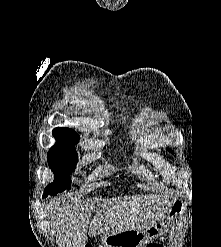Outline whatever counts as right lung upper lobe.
<instances>
[{"label":"right lung upper lobe","instance_id":"1","mask_svg":"<svg viewBox=\"0 0 221 247\" xmlns=\"http://www.w3.org/2000/svg\"><path fill=\"white\" fill-rule=\"evenodd\" d=\"M54 134H60V135H65V136H69V137H77L80 138L79 135L72 129L70 128H55L53 130Z\"/></svg>","mask_w":221,"mask_h":247}]
</instances>
